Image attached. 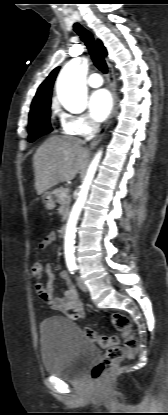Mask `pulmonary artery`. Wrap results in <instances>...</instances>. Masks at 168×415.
<instances>
[{
  "label": "pulmonary artery",
  "mask_w": 168,
  "mask_h": 415,
  "mask_svg": "<svg viewBox=\"0 0 168 415\" xmlns=\"http://www.w3.org/2000/svg\"><path fill=\"white\" fill-rule=\"evenodd\" d=\"M87 83L93 88H98L103 84V79L98 73H93L88 77Z\"/></svg>",
  "instance_id": "1"
}]
</instances>
